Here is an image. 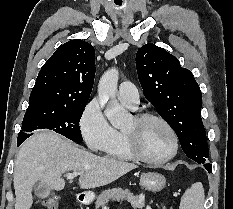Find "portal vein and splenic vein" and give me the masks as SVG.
<instances>
[{
    "label": "portal vein and splenic vein",
    "instance_id": "obj_1",
    "mask_svg": "<svg viewBox=\"0 0 233 209\" xmlns=\"http://www.w3.org/2000/svg\"><path fill=\"white\" fill-rule=\"evenodd\" d=\"M78 175H80L79 172H73V173H68V174L66 175V177H67V179L71 180V179H73L74 177H76V176H78ZM105 209H107V208H105Z\"/></svg>",
    "mask_w": 233,
    "mask_h": 209
}]
</instances>
